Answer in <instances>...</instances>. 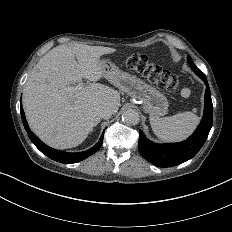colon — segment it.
<instances>
[{
    "mask_svg": "<svg viewBox=\"0 0 232 232\" xmlns=\"http://www.w3.org/2000/svg\"><path fill=\"white\" fill-rule=\"evenodd\" d=\"M146 61H149V56L130 52L126 56V69L150 79L151 86H162L164 91H173L179 97H185L189 93V88L178 81L175 74H165L164 66L147 64Z\"/></svg>",
    "mask_w": 232,
    "mask_h": 232,
    "instance_id": "5ec220e1",
    "label": "colon"
}]
</instances>
